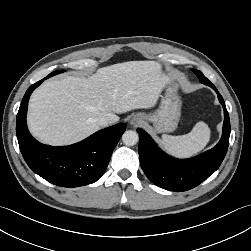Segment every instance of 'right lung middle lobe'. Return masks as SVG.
<instances>
[{
    "instance_id": "right-lung-middle-lobe-1",
    "label": "right lung middle lobe",
    "mask_w": 251,
    "mask_h": 251,
    "mask_svg": "<svg viewBox=\"0 0 251 251\" xmlns=\"http://www.w3.org/2000/svg\"><path fill=\"white\" fill-rule=\"evenodd\" d=\"M61 72H64V71L61 70V71L52 72L51 74H49V75L47 76V78H49V77H51V76H53V75L59 74V73H61Z\"/></svg>"
}]
</instances>
